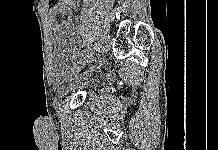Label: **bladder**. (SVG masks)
<instances>
[{
	"label": "bladder",
	"mask_w": 218,
	"mask_h": 150,
	"mask_svg": "<svg viewBox=\"0 0 218 150\" xmlns=\"http://www.w3.org/2000/svg\"><path fill=\"white\" fill-rule=\"evenodd\" d=\"M68 43L59 39L54 46L55 64L52 79L56 93L63 97L76 90H92L101 84L104 72L98 65L81 70L65 62L68 55Z\"/></svg>",
	"instance_id": "obj_1"
}]
</instances>
